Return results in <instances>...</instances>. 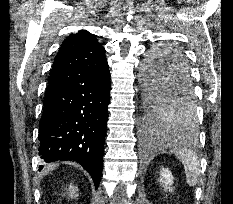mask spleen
<instances>
[{
    "label": "spleen",
    "mask_w": 233,
    "mask_h": 204,
    "mask_svg": "<svg viewBox=\"0 0 233 204\" xmlns=\"http://www.w3.org/2000/svg\"><path fill=\"white\" fill-rule=\"evenodd\" d=\"M173 152L184 167L187 184L190 187L196 186L201 177V165L197 153L183 144L176 145Z\"/></svg>",
    "instance_id": "1"
}]
</instances>
